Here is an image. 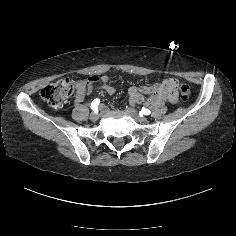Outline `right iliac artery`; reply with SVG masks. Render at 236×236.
I'll return each instance as SVG.
<instances>
[{"label":"right iliac artery","instance_id":"82829eb1","mask_svg":"<svg viewBox=\"0 0 236 236\" xmlns=\"http://www.w3.org/2000/svg\"><path fill=\"white\" fill-rule=\"evenodd\" d=\"M100 103V100L99 99H94L91 103V109L94 111V112H97L98 111V105Z\"/></svg>","mask_w":236,"mask_h":236}]
</instances>
